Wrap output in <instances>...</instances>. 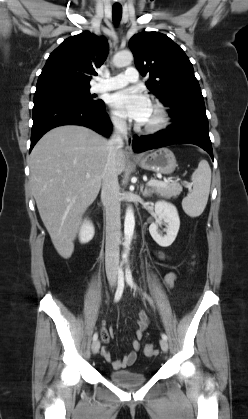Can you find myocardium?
<instances>
[{
    "label": "myocardium",
    "mask_w": 248,
    "mask_h": 419,
    "mask_svg": "<svg viewBox=\"0 0 248 419\" xmlns=\"http://www.w3.org/2000/svg\"><path fill=\"white\" fill-rule=\"evenodd\" d=\"M151 106L156 113V119L152 123L142 124L140 126L141 131L149 134L161 131L169 123V113L161 102L153 101Z\"/></svg>",
    "instance_id": "obj_1"
}]
</instances>
